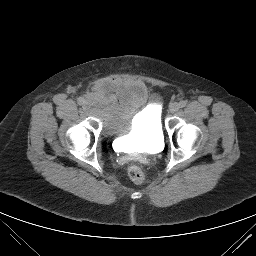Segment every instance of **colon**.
<instances>
[{
    "instance_id": "colon-1",
    "label": "colon",
    "mask_w": 256,
    "mask_h": 256,
    "mask_svg": "<svg viewBox=\"0 0 256 256\" xmlns=\"http://www.w3.org/2000/svg\"><path fill=\"white\" fill-rule=\"evenodd\" d=\"M128 175H129L130 179L132 181H134L135 183L140 184V183H143L145 180V175H144L142 169L135 164L129 166Z\"/></svg>"
}]
</instances>
